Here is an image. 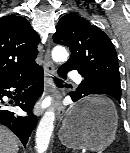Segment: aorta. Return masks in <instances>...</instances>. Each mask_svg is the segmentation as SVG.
Here are the masks:
<instances>
[{
    "label": "aorta",
    "mask_w": 130,
    "mask_h": 153,
    "mask_svg": "<svg viewBox=\"0 0 130 153\" xmlns=\"http://www.w3.org/2000/svg\"><path fill=\"white\" fill-rule=\"evenodd\" d=\"M52 59L55 62H65L68 59V52L64 47H55L52 50ZM55 113L53 110L45 112L40 120L36 131V151L37 153H45L48 146L50 137L54 129Z\"/></svg>",
    "instance_id": "aorta-1"
}]
</instances>
